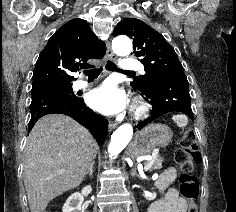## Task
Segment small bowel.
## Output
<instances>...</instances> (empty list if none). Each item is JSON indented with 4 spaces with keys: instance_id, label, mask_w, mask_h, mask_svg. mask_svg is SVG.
Here are the masks:
<instances>
[{
    "instance_id": "1",
    "label": "small bowel",
    "mask_w": 236,
    "mask_h": 212,
    "mask_svg": "<svg viewBox=\"0 0 236 212\" xmlns=\"http://www.w3.org/2000/svg\"><path fill=\"white\" fill-rule=\"evenodd\" d=\"M176 179L174 168H167L159 178V186L168 187ZM187 202L181 198L175 189H169L164 197L150 206L149 212H187Z\"/></svg>"
}]
</instances>
